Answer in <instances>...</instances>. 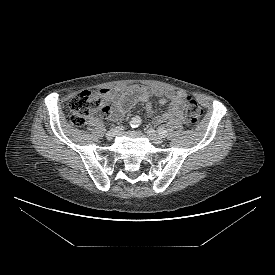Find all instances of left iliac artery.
<instances>
[{"label":"left iliac artery","mask_w":275,"mask_h":275,"mask_svg":"<svg viewBox=\"0 0 275 275\" xmlns=\"http://www.w3.org/2000/svg\"><path fill=\"white\" fill-rule=\"evenodd\" d=\"M158 134L162 137H165L167 135V130L165 128H159Z\"/></svg>","instance_id":"44dca946"}]
</instances>
